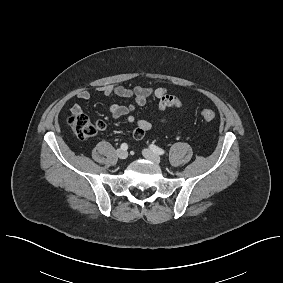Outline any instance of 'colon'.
Instances as JSON below:
<instances>
[{
  "label": "colon",
  "instance_id": "5ec220e1",
  "mask_svg": "<svg viewBox=\"0 0 283 283\" xmlns=\"http://www.w3.org/2000/svg\"><path fill=\"white\" fill-rule=\"evenodd\" d=\"M201 116L207 122L213 121L216 118L215 112L211 109L202 110ZM69 125L74 135L79 139L90 138L105 127V124L102 121L93 123L83 113L73 114L69 119Z\"/></svg>",
  "mask_w": 283,
  "mask_h": 283
}]
</instances>
